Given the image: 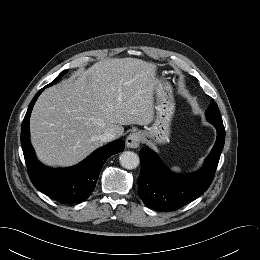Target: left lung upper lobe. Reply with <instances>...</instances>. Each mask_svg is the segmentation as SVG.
Segmentation results:
<instances>
[{"label":"left lung upper lobe","instance_id":"1","mask_svg":"<svg viewBox=\"0 0 260 260\" xmlns=\"http://www.w3.org/2000/svg\"><path fill=\"white\" fill-rule=\"evenodd\" d=\"M206 117L207 120L210 122H223L221 116L219 115L218 106L213 100L211 101L210 106L206 110Z\"/></svg>","mask_w":260,"mask_h":260}]
</instances>
